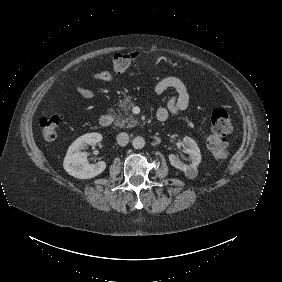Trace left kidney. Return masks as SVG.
<instances>
[{
    "instance_id": "5707ae66",
    "label": "left kidney",
    "mask_w": 282,
    "mask_h": 282,
    "mask_svg": "<svg viewBox=\"0 0 282 282\" xmlns=\"http://www.w3.org/2000/svg\"><path fill=\"white\" fill-rule=\"evenodd\" d=\"M182 143L185 148V152L189 154L191 163L189 165H186L174 154L169 155V161L172 166L179 170H182L187 178L194 179L198 175L197 166L201 162L200 149L196 141L191 137L185 136Z\"/></svg>"
}]
</instances>
